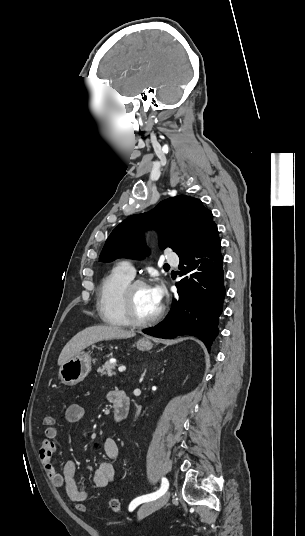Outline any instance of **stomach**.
<instances>
[{
    "label": "stomach",
    "instance_id": "1",
    "mask_svg": "<svg viewBox=\"0 0 305 536\" xmlns=\"http://www.w3.org/2000/svg\"><path fill=\"white\" fill-rule=\"evenodd\" d=\"M137 350L148 352L153 344L148 338H142L136 342ZM91 370V356L89 352H78L76 356L67 360L59 368V378L65 386H76L88 376Z\"/></svg>",
    "mask_w": 305,
    "mask_h": 536
}]
</instances>
